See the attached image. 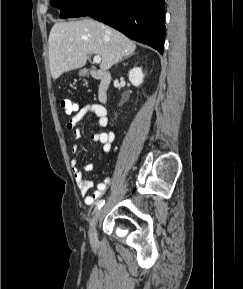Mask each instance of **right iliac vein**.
I'll list each match as a JSON object with an SVG mask.
<instances>
[{"label":"right iliac vein","mask_w":243,"mask_h":289,"mask_svg":"<svg viewBox=\"0 0 243 289\" xmlns=\"http://www.w3.org/2000/svg\"><path fill=\"white\" fill-rule=\"evenodd\" d=\"M100 215H101V210L96 212L94 218L91 221V224H90V238H91V240L96 239V225H97V222L100 218Z\"/></svg>","instance_id":"63e3f726"}]
</instances>
